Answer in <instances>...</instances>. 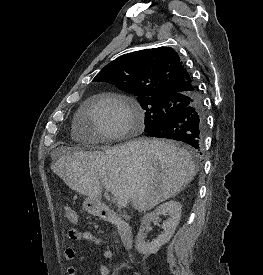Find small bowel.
<instances>
[{"instance_id":"obj_1","label":"small bowel","mask_w":263,"mask_h":275,"mask_svg":"<svg viewBox=\"0 0 263 275\" xmlns=\"http://www.w3.org/2000/svg\"><path fill=\"white\" fill-rule=\"evenodd\" d=\"M67 236L72 241L89 242L101 248L105 258H111L113 255L111 248L107 246L99 237L95 236L89 231H80L78 229L72 228L68 231ZM75 253V249L72 246H67L64 250V258L67 261V275H76V268L72 265V261L75 258ZM109 273L110 270L108 266L104 264L100 265L98 275H109Z\"/></svg>"}]
</instances>
